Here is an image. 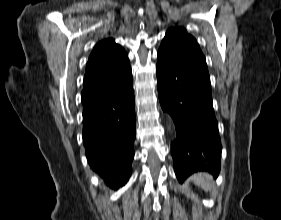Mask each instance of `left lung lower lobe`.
Listing matches in <instances>:
<instances>
[{"mask_svg": "<svg viewBox=\"0 0 281 220\" xmlns=\"http://www.w3.org/2000/svg\"><path fill=\"white\" fill-rule=\"evenodd\" d=\"M156 75L161 106L176 128L171 154L177 179L197 171L217 176L222 146L207 65L182 54H158Z\"/></svg>", "mask_w": 281, "mask_h": 220, "instance_id": "left-lung-lower-lobe-1", "label": "left lung lower lobe"}]
</instances>
